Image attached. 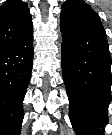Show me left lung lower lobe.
<instances>
[{
	"mask_svg": "<svg viewBox=\"0 0 112 135\" xmlns=\"http://www.w3.org/2000/svg\"><path fill=\"white\" fill-rule=\"evenodd\" d=\"M61 60L77 135H104L111 101V57L104 28L60 19Z\"/></svg>",
	"mask_w": 112,
	"mask_h": 135,
	"instance_id": "left-lung-lower-lobe-1",
	"label": "left lung lower lobe"
}]
</instances>
